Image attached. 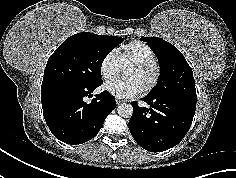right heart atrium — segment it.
<instances>
[{
    "label": "right heart atrium",
    "instance_id": "obj_1",
    "mask_svg": "<svg viewBox=\"0 0 236 178\" xmlns=\"http://www.w3.org/2000/svg\"><path fill=\"white\" fill-rule=\"evenodd\" d=\"M101 77L108 82L113 80L120 72L121 66L114 52H108L99 64Z\"/></svg>",
    "mask_w": 236,
    "mask_h": 178
}]
</instances>
